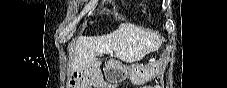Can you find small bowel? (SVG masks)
<instances>
[{"label": "small bowel", "mask_w": 227, "mask_h": 88, "mask_svg": "<svg viewBox=\"0 0 227 88\" xmlns=\"http://www.w3.org/2000/svg\"><path fill=\"white\" fill-rule=\"evenodd\" d=\"M102 87L109 88V87H111V85H109V84H103Z\"/></svg>", "instance_id": "1"}]
</instances>
